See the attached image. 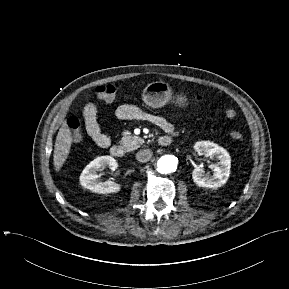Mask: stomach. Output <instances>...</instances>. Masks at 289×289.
Masks as SVG:
<instances>
[{"label": "stomach", "instance_id": "1", "mask_svg": "<svg viewBox=\"0 0 289 289\" xmlns=\"http://www.w3.org/2000/svg\"><path fill=\"white\" fill-rule=\"evenodd\" d=\"M142 99L147 106L152 108H161L169 102H173L180 107L187 104L185 96L178 95L174 97L169 84L163 81L149 83L143 90Z\"/></svg>", "mask_w": 289, "mask_h": 289}]
</instances>
